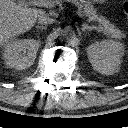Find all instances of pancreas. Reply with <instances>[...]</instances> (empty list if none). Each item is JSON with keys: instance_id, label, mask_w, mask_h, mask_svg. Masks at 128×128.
I'll return each instance as SVG.
<instances>
[{"instance_id": "1", "label": "pancreas", "mask_w": 128, "mask_h": 128, "mask_svg": "<svg viewBox=\"0 0 128 128\" xmlns=\"http://www.w3.org/2000/svg\"><path fill=\"white\" fill-rule=\"evenodd\" d=\"M58 3L66 0H57ZM80 5V14L88 17L89 21H97V30L112 38L121 39L125 34L119 30L114 24L110 23L104 16L98 15L96 9L90 0H78Z\"/></svg>"}]
</instances>
